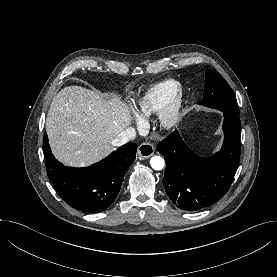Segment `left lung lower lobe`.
I'll return each instance as SVG.
<instances>
[{
  "label": "left lung lower lobe",
  "mask_w": 277,
  "mask_h": 277,
  "mask_svg": "<svg viewBox=\"0 0 277 277\" xmlns=\"http://www.w3.org/2000/svg\"><path fill=\"white\" fill-rule=\"evenodd\" d=\"M224 113V143L210 158L196 155L174 131L158 146L166 169L163 185L181 210L198 211L218 201L229 189L239 165L241 124L237 114Z\"/></svg>",
  "instance_id": "1"
}]
</instances>
